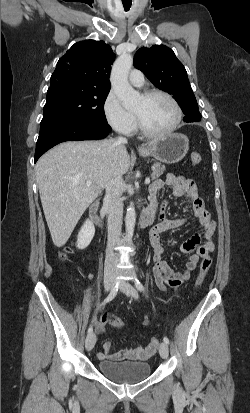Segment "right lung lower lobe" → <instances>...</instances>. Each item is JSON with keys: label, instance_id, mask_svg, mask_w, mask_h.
<instances>
[{"label": "right lung lower lobe", "instance_id": "right-lung-lower-lobe-1", "mask_svg": "<svg viewBox=\"0 0 250 413\" xmlns=\"http://www.w3.org/2000/svg\"><path fill=\"white\" fill-rule=\"evenodd\" d=\"M110 131L111 127L107 123L68 122L54 126L39 134L35 162L58 143L69 140H98L105 138Z\"/></svg>", "mask_w": 250, "mask_h": 413}]
</instances>
